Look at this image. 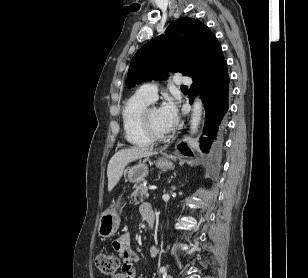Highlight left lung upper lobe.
<instances>
[{
  "label": "left lung upper lobe",
  "instance_id": "obj_1",
  "mask_svg": "<svg viewBox=\"0 0 308 278\" xmlns=\"http://www.w3.org/2000/svg\"><path fill=\"white\" fill-rule=\"evenodd\" d=\"M181 61H188L186 66ZM224 61L221 46L202 22L192 18L175 20L165 35L156 37L134 55L125 85L128 88L146 80L165 79L168 70L192 79L205 76Z\"/></svg>",
  "mask_w": 308,
  "mask_h": 278
}]
</instances>
